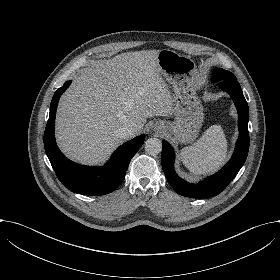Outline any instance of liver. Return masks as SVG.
<instances>
[{"mask_svg": "<svg viewBox=\"0 0 280 280\" xmlns=\"http://www.w3.org/2000/svg\"><path fill=\"white\" fill-rule=\"evenodd\" d=\"M157 50L120 53L93 62L60 99L55 140L72 162L100 167L123 144L118 130L143 133L147 118L168 116L173 101L157 71ZM134 136V137H135Z\"/></svg>", "mask_w": 280, "mask_h": 280, "instance_id": "obj_1", "label": "liver"}]
</instances>
